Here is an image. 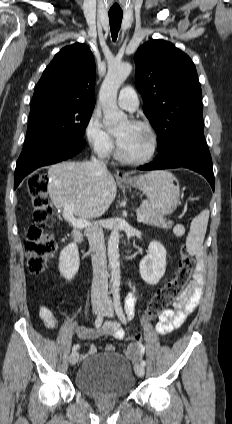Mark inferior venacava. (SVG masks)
<instances>
[{
    "label": "inferior vena cava",
    "mask_w": 232,
    "mask_h": 424,
    "mask_svg": "<svg viewBox=\"0 0 232 424\" xmlns=\"http://www.w3.org/2000/svg\"><path fill=\"white\" fill-rule=\"evenodd\" d=\"M91 163L100 171L106 172L107 167L94 156ZM88 237L93 266V280L91 288L92 303H103L108 299V272L106 261V247L104 233L101 226L95 222L85 230Z\"/></svg>",
    "instance_id": "obj_1"
}]
</instances>
